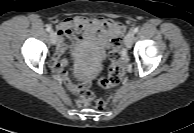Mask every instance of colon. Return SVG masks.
Listing matches in <instances>:
<instances>
[{
    "mask_svg": "<svg viewBox=\"0 0 194 133\" xmlns=\"http://www.w3.org/2000/svg\"><path fill=\"white\" fill-rule=\"evenodd\" d=\"M112 51L109 54L111 65L109 74L106 78L99 80L100 87L104 89L112 88L118 85L122 79L123 68V54L121 52V39L116 37L112 40ZM109 100V96L104 98L94 99L93 94L89 89H84L80 92L77 104L81 107H94L96 109H103Z\"/></svg>",
    "mask_w": 194,
    "mask_h": 133,
    "instance_id": "colon-1",
    "label": "colon"
}]
</instances>
